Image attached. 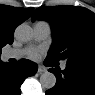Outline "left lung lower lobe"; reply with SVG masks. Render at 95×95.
<instances>
[{
  "instance_id": "obj_1",
  "label": "left lung lower lobe",
  "mask_w": 95,
  "mask_h": 95,
  "mask_svg": "<svg viewBox=\"0 0 95 95\" xmlns=\"http://www.w3.org/2000/svg\"><path fill=\"white\" fill-rule=\"evenodd\" d=\"M51 61L47 58L44 63ZM56 75V85L47 95H95V67L67 63L65 70L49 69Z\"/></svg>"
}]
</instances>
